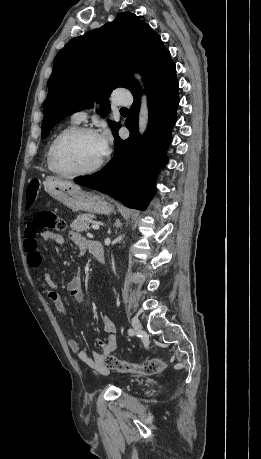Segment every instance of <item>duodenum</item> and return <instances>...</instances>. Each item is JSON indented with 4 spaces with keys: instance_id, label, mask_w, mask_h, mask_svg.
I'll return each instance as SVG.
<instances>
[{
    "instance_id": "1",
    "label": "duodenum",
    "mask_w": 261,
    "mask_h": 459,
    "mask_svg": "<svg viewBox=\"0 0 261 459\" xmlns=\"http://www.w3.org/2000/svg\"><path fill=\"white\" fill-rule=\"evenodd\" d=\"M91 252L98 261H100L101 263H105V251L101 242H92Z\"/></svg>"
}]
</instances>
